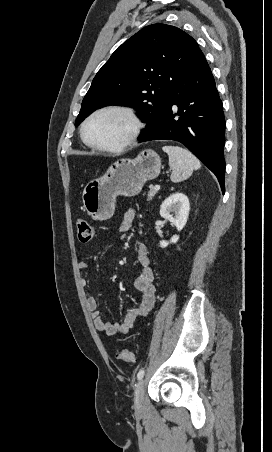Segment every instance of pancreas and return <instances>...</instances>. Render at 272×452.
I'll use <instances>...</instances> for the list:
<instances>
[{
  "label": "pancreas",
  "instance_id": "1",
  "mask_svg": "<svg viewBox=\"0 0 272 452\" xmlns=\"http://www.w3.org/2000/svg\"><path fill=\"white\" fill-rule=\"evenodd\" d=\"M155 194H156V191L153 188H151L148 192V200H151Z\"/></svg>",
  "mask_w": 272,
  "mask_h": 452
}]
</instances>
